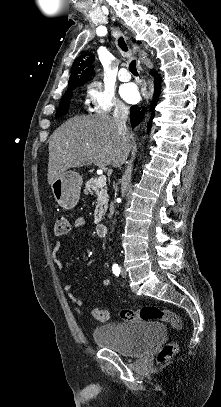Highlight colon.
<instances>
[{
	"label": "colon",
	"mask_w": 221,
	"mask_h": 407,
	"mask_svg": "<svg viewBox=\"0 0 221 407\" xmlns=\"http://www.w3.org/2000/svg\"><path fill=\"white\" fill-rule=\"evenodd\" d=\"M69 230V222L66 217L60 216L56 220L55 233L56 235H65ZM92 316L102 322L110 318V312L106 309L94 308L91 310ZM120 317L123 321L130 322L133 320L142 321H161L169 323L177 331L182 329L180 318L172 311L159 308L157 306H144L138 310H122ZM177 345L175 342L165 344L157 353V361L159 364H165L176 353Z\"/></svg>",
	"instance_id": "5ec220e1"
}]
</instances>
